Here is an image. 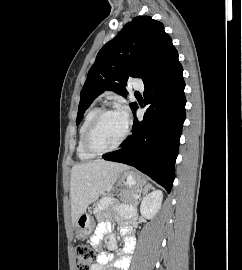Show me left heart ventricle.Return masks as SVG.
<instances>
[{
    "instance_id": "1",
    "label": "left heart ventricle",
    "mask_w": 242,
    "mask_h": 270,
    "mask_svg": "<svg viewBox=\"0 0 242 270\" xmlns=\"http://www.w3.org/2000/svg\"><path fill=\"white\" fill-rule=\"evenodd\" d=\"M125 128L126 122L119 112L105 115L92 134V146L96 149L114 146L123 136Z\"/></svg>"
}]
</instances>
